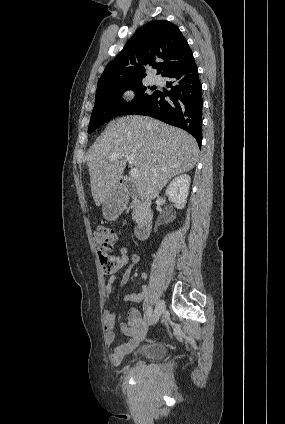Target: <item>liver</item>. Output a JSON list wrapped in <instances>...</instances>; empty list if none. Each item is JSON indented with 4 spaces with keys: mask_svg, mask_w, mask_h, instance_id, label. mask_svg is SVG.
I'll return each instance as SVG.
<instances>
[{
    "mask_svg": "<svg viewBox=\"0 0 285 424\" xmlns=\"http://www.w3.org/2000/svg\"><path fill=\"white\" fill-rule=\"evenodd\" d=\"M196 140L186 131L144 116L112 120L87 153L93 200L100 206L116 185L127 162L139 169L135 181L142 199H155L174 176L190 171L198 159ZM113 153L119 157L110 161Z\"/></svg>",
    "mask_w": 285,
    "mask_h": 424,
    "instance_id": "1",
    "label": "liver"
}]
</instances>
